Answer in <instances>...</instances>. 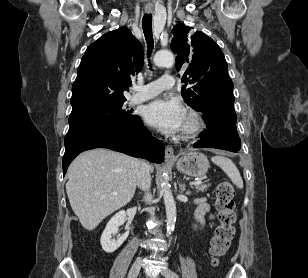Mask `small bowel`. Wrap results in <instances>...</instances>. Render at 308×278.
<instances>
[{
  "label": "small bowel",
  "mask_w": 308,
  "mask_h": 278,
  "mask_svg": "<svg viewBox=\"0 0 308 278\" xmlns=\"http://www.w3.org/2000/svg\"><path fill=\"white\" fill-rule=\"evenodd\" d=\"M195 208V218L200 224L201 227L205 225L206 216L209 212V204L207 203L205 198L197 199ZM210 219L213 218L212 215L209 216Z\"/></svg>",
  "instance_id": "obj_1"
}]
</instances>
